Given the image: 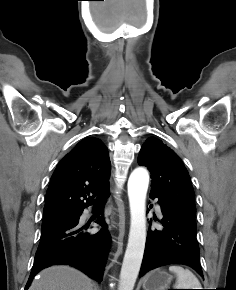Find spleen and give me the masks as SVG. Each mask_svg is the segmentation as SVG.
Listing matches in <instances>:
<instances>
[{"instance_id": "1", "label": "spleen", "mask_w": 236, "mask_h": 290, "mask_svg": "<svg viewBox=\"0 0 236 290\" xmlns=\"http://www.w3.org/2000/svg\"><path fill=\"white\" fill-rule=\"evenodd\" d=\"M169 271L176 274L175 289H201L199 280L189 269H184L180 265H171Z\"/></svg>"}]
</instances>
